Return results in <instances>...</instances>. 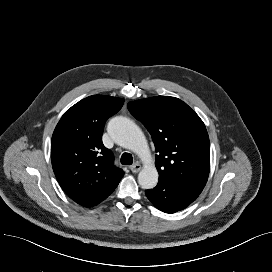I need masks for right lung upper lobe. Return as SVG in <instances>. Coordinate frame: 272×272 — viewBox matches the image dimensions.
I'll use <instances>...</instances> for the list:
<instances>
[{"label": "right lung upper lobe", "mask_w": 272, "mask_h": 272, "mask_svg": "<svg viewBox=\"0 0 272 272\" xmlns=\"http://www.w3.org/2000/svg\"><path fill=\"white\" fill-rule=\"evenodd\" d=\"M124 99L93 95L68 109L51 140L53 171L64 192L76 203L93 207L106 199L124 175L102 143L106 120Z\"/></svg>", "instance_id": "obj_1"}]
</instances>
